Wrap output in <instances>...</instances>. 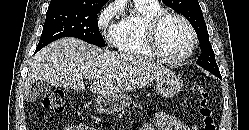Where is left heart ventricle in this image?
<instances>
[{
  "label": "left heart ventricle",
  "mask_w": 249,
  "mask_h": 130,
  "mask_svg": "<svg viewBox=\"0 0 249 130\" xmlns=\"http://www.w3.org/2000/svg\"><path fill=\"white\" fill-rule=\"evenodd\" d=\"M159 40L162 49L174 57L186 53L191 43L188 29L176 18H169L163 23Z\"/></svg>",
  "instance_id": "left-heart-ventricle-1"
}]
</instances>
